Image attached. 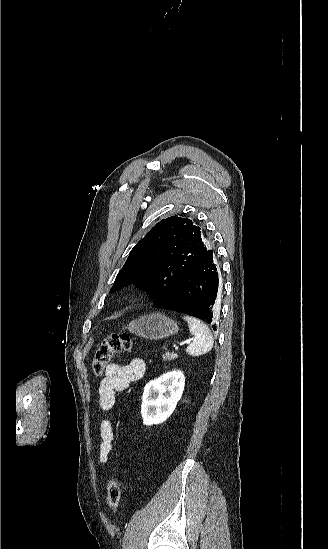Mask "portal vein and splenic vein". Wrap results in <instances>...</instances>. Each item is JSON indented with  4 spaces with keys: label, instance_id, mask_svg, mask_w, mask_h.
Here are the masks:
<instances>
[{
    "label": "portal vein and splenic vein",
    "instance_id": "18ae733b",
    "mask_svg": "<svg viewBox=\"0 0 328 549\" xmlns=\"http://www.w3.org/2000/svg\"><path fill=\"white\" fill-rule=\"evenodd\" d=\"M190 341H192V339H189V341H184V343H180V345H185V343H190ZM173 349H175V351H179V348H177V346H173Z\"/></svg>",
    "mask_w": 328,
    "mask_h": 549
}]
</instances>
